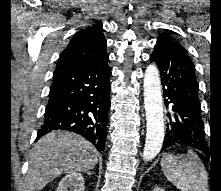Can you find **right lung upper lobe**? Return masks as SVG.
Segmentation results:
<instances>
[{
    "instance_id": "right-lung-upper-lobe-1",
    "label": "right lung upper lobe",
    "mask_w": 221,
    "mask_h": 191,
    "mask_svg": "<svg viewBox=\"0 0 221 191\" xmlns=\"http://www.w3.org/2000/svg\"><path fill=\"white\" fill-rule=\"evenodd\" d=\"M106 46L101 22L80 30L61 54L54 73L85 64L108 61Z\"/></svg>"
}]
</instances>
